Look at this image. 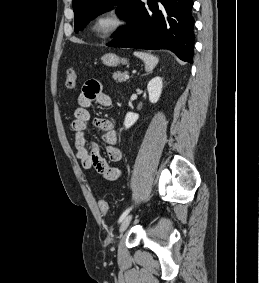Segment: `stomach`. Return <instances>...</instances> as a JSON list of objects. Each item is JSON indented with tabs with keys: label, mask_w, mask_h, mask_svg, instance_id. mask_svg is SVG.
<instances>
[{
	"label": "stomach",
	"mask_w": 259,
	"mask_h": 283,
	"mask_svg": "<svg viewBox=\"0 0 259 283\" xmlns=\"http://www.w3.org/2000/svg\"><path fill=\"white\" fill-rule=\"evenodd\" d=\"M102 61L107 66H116L120 63L127 64V60L124 58H120L116 54L107 53L102 57Z\"/></svg>",
	"instance_id": "obj_1"
}]
</instances>
